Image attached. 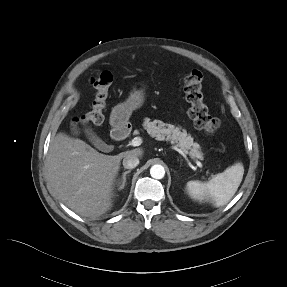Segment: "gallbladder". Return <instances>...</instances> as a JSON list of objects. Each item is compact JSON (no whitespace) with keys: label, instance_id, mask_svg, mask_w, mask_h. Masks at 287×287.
<instances>
[{"label":"gallbladder","instance_id":"obj_1","mask_svg":"<svg viewBox=\"0 0 287 287\" xmlns=\"http://www.w3.org/2000/svg\"><path fill=\"white\" fill-rule=\"evenodd\" d=\"M84 133L88 140L98 149L102 148V141L100 138L93 132V130L89 127L84 129Z\"/></svg>","mask_w":287,"mask_h":287}]
</instances>
